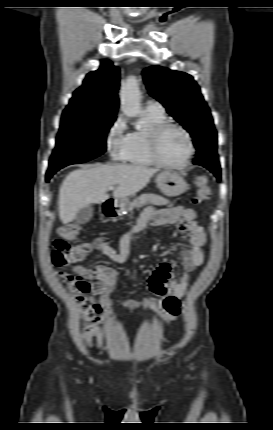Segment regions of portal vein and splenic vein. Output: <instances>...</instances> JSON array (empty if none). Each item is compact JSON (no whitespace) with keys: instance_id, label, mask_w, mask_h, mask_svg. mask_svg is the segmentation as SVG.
Listing matches in <instances>:
<instances>
[{"instance_id":"18ae733b","label":"portal vein and splenic vein","mask_w":273,"mask_h":430,"mask_svg":"<svg viewBox=\"0 0 273 430\" xmlns=\"http://www.w3.org/2000/svg\"><path fill=\"white\" fill-rule=\"evenodd\" d=\"M109 189H110V190H114V187H113V186H111V187H109Z\"/></svg>"}]
</instances>
